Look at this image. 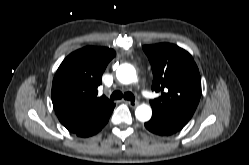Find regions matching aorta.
<instances>
[{"label": "aorta", "mask_w": 249, "mask_h": 165, "mask_svg": "<svg viewBox=\"0 0 249 165\" xmlns=\"http://www.w3.org/2000/svg\"><path fill=\"white\" fill-rule=\"evenodd\" d=\"M117 79L123 84L137 82L136 71L132 66H121L116 72ZM135 116L139 121L145 122L150 120L152 109L149 105H139L135 110Z\"/></svg>", "instance_id": "obj_1"}]
</instances>
